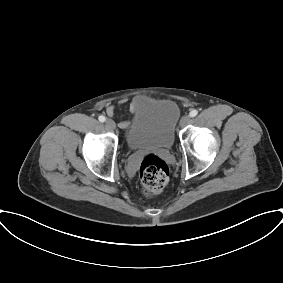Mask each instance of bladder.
Listing matches in <instances>:
<instances>
[{"mask_svg":"<svg viewBox=\"0 0 283 283\" xmlns=\"http://www.w3.org/2000/svg\"><path fill=\"white\" fill-rule=\"evenodd\" d=\"M179 119L180 110L173 100H149L135 109L125 143L131 150L169 149Z\"/></svg>","mask_w":283,"mask_h":283,"instance_id":"31cf9c89","label":"bladder"}]
</instances>
